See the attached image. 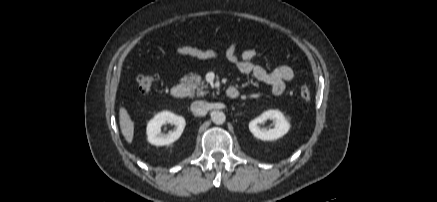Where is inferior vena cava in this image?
<instances>
[{
    "mask_svg": "<svg viewBox=\"0 0 437 202\" xmlns=\"http://www.w3.org/2000/svg\"><path fill=\"white\" fill-rule=\"evenodd\" d=\"M209 110V104L205 101H194L191 104V111L194 115L204 116Z\"/></svg>",
    "mask_w": 437,
    "mask_h": 202,
    "instance_id": "1",
    "label": "inferior vena cava"
}]
</instances>
